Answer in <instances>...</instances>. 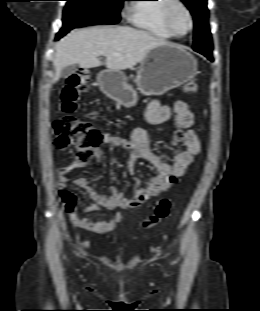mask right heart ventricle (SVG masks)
<instances>
[{
    "label": "right heart ventricle",
    "mask_w": 260,
    "mask_h": 311,
    "mask_svg": "<svg viewBox=\"0 0 260 311\" xmlns=\"http://www.w3.org/2000/svg\"><path fill=\"white\" fill-rule=\"evenodd\" d=\"M131 8L130 21L138 28L164 39L172 38V34L166 28L162 13L167 0H137Z\"/></svg>",
    "instance_id": "right-heart-ventricle-1"
}]
</instances>
